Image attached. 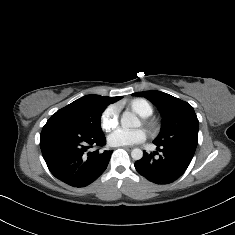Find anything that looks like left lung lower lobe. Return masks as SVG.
<instances>
[{
  "mask_svg": "<svg viewBox=\"0 0 235 235\" xmlns=\"http://www.w3.org/2000/svg\"><path fill=\"white\" fill-rule=\"evenodd\" d=\"M162 152L159 158L144 152L143 158L135 162L137 172L149 181L164 184L180 177L189 166L195 149L180 144L156 145Z\"/></svg>",
  "mask_w": 235,
  "mask_h": 235,
  "instance_id": "obj_1",
  "label": "left lung lower lobe"
}]
</instances>
